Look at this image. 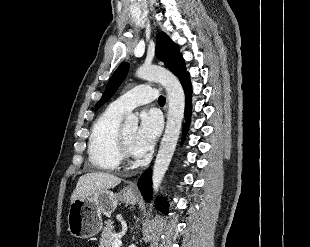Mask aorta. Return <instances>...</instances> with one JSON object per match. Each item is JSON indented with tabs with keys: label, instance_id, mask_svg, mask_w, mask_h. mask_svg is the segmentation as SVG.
I'll return each instance as SVG.
<instances>
[{
	"label": "aorta",
	"instance_id": "obj_1",
	"mask_svg": "<svg viewBox=\"0 0 310 247\" xmlns=\"http://www.w3.org/2000/svg\"><path fill=\"white\" fill-rule=\"evenodd\" d=\"M136 74L141 79L161 83L167 91L169 105L165 133L161 140L160 148L153 167V198L150 203V206H152L177 146L184 117L185 96L179 80L164 68L156 66H141L136 71ZM125 126L137 128V116L134 114L127 115Z\"/></svg>",
	"mask_w": 310,
	"mask_h": 247
}]
</instances>
